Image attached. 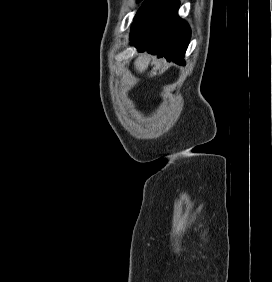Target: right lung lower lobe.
I'll list each match as a JSON object with an SVG mask.
<instances>
[{
  "instance_id": "98d812e1",
  "label": "right lung lower lobe",
  "mask_w": 272,
  "mask_h": 282,
  "mask_svg": "<svg viewBox=\"0 0 272 282\" xmlns=\"http://www.w3.org/2000/svg\"><path fill=\"white\" fill-rule=\"evenodd\" d=\"M178 7L177 0H146L133 21L130 45L184 64L181 59L190 42V28L178 17Z\"/></svg>"
}]
</instances>
